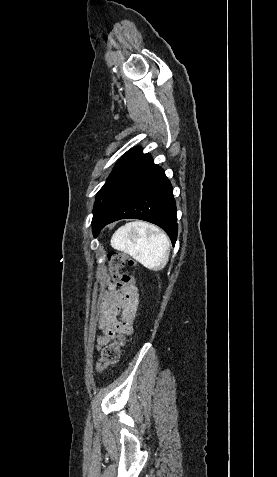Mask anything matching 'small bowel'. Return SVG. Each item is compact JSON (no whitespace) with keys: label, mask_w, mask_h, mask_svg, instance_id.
I'll use <instances>...</instances> for the list:
<instances>
[{"label":"small bowel","mask_w":277,"mask_h":477,"mask_svg":"<svg viewBox=\"0 0 277 477\" xmlns=\"http://www.w3.org/2000/svg\"><path fill=\"white\" fill-rule=\"evenodd\" d=\"M138 298L135 284L119 286L107 281V290L100 300L98 325L102 335L96 337L97 350L106 346L117 334H132Z\"/></svg>","instance_id":"small-bowel-1"}]
</instances>
